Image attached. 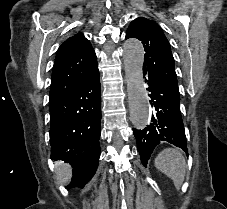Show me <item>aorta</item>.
<instances>
[{
	"label": "aorta",
	"instance_id": "1",
	"mask_svg": "<svg viewBox=\"0 0 227 209\" xmlns=\"http://www.w3.org/2000/svg\"><path fill=\"white\" fill-rule=\"evenodd\" d=\"M130 118L136 129H144L149 121V103L143 81L144 48L137 39L124 43Z\"/></svg>",
	"mask_w": 227,
	"mask_h": 209
}]
</instances>
